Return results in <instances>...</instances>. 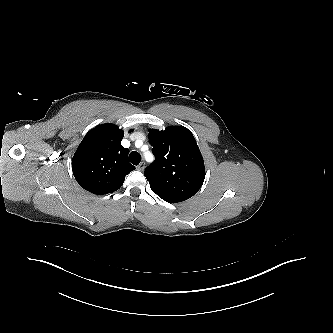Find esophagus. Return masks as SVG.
<instances>
[{
    "instance_id": "1",
    "label": "esophagus",
    "mask_w": 333,
    "mask_h": 333,
    "mask_svg": "<svg viewBox=\"0 0 333 333\" xmlns=\"http://www.w3.org/2000/svg\"><path fill=\"white\" fill-rule=\"evenodd\" d=\"M136 168H137V170L143 171L145 168V164L143 162H141Z\"/></svg>"
}]
</instances>
